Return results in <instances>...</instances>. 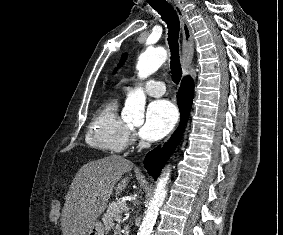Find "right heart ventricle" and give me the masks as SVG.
Instances as JSON below:
<instances>
[{"instance_id": "1", "label": "right heart ventricle", "mask_w": 283, "mask_h": 235, "mask_svg": "<svg viewBox=\"0 0 283 235\" xmlns=\"http://www.w3.org/2000/svg\"><path fill=\"white\" fill-rule=\"evenodd\" d=\"M116 98L105 101L95 112L86 133L88 146L105 153H120L128 143V127L118 113Z\"/></svg>"}]
</instances>
